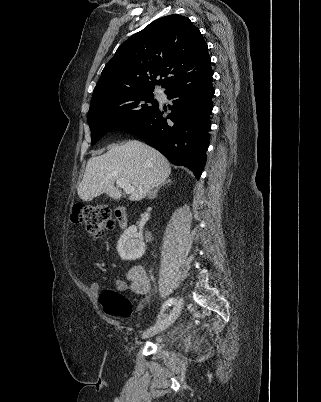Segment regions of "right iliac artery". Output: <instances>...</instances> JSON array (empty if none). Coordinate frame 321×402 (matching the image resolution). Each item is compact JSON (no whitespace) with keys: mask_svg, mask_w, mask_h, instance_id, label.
<instances>
[{"mask_svg":"<svg viewBox=\"0 0 321 402\" xmlns=\"http://www.w3.org/2000/svg\"><path fill=\"white\" fill-rule=\"evenodd\" d=\"M177 303V299L176 298H169L162 306L161 312L158 315V320L157 322H159L161 320V317L163 316V312L165 311V309L173 304Z\"/></svg>","mask_w":321,"mask_h":402,"instance_id":"right-iliac-artery-1","label":"right iliac artery"}]
</instances>
